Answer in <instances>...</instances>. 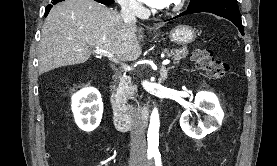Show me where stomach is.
Returning a JSON list of instances; mask_svg holds the SVG:
<instances>
[{
    "instance_id": "1",
    "label": "stomach",
    "mask_w": 277,
    "mask_h": 166,
    "mask_svg": "<svg viewBox=\"0 0 277 166\" xmlns=\"http://www.w3.org/2000/svg\"><path fill=\"white\" fill-rule=\"evenodd\" d=\"M170 38L171 41L178 44H189L195 40L196 31L188 25H179L171 31Z\"/></svg>"
}]
</instances>
